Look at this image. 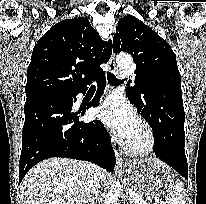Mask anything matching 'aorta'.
Returning <instances> with one entry per match:
<instances>
[{"instance_id":"obj_1","label":"aorta","mask_w":206,"mask_h":204,"mask_svg":"<svg viewBox=\"0 0 206 204\" xmlns=\"http://www.w3.org/2000/svg\"><path fill=\"white\" fill-rule=\"evenodd\" d=\"M116 63L119 67H127L132 63V57L129 54H119L116 57ZM120 188L119 182L113 183L105 197L104 204H118Z\"/></svg>"}]
</instances>
